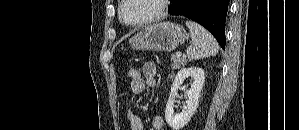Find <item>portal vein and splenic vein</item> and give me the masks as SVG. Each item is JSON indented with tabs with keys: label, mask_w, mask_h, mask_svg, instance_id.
<instances>
[{
	"label": "portal vein and splenic vein",
	"mask_w": 299,
	"mask_h": 130,
	"mask_svg": "<svg viewBox=\"0 0 299 130\" xmlns=\"http://www.w3.org/2000/svg\"><path fill=\"white\" fill-rule=\"evenodd\" d=\"M176 55H177L178 57H180V56L182 55V53H181V52H177Z\"/></svg>",
	"instance_id": "portal-vein-and-splenic-vein-1"
}]
</instances>
